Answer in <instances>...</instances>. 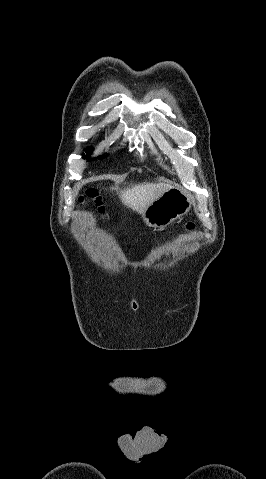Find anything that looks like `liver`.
Wrapping results in <instances>:
<instances>
[{"label":"liver","instance_id":"liver-1","mask_svg":"<svg viewBox=\"0 0 266 479\" xmlns=\"http://www.w3.org/2000/svg\"><path fill=\"white\" fill-rule=\"evenodd\" d=\"M169 188L171 186L168 183L161 181L157 183L144 182L120 190L119 198L125 206L143 214L146 208ZM112 189L118 192V187Z\"/></svg>","mask_w":266,"mask_h":479}]
</instances>
